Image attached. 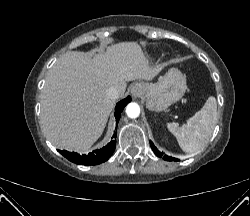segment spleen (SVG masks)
<instances>
[{
  "instance_id": "spleen-1",
  "label": "spleen",
  "mask_w": 250,
  "mask_h": 216,
  "mask_svg": "<svg viewBox=\"0 0 250 216\" xmlns=\"http://www.w3.org/2000/svg\"><path fill=\"white\" fill-rule=\"evenodd\" d=\"M217 122V102L208 98L204 106L186 123H167L168 130L176 137L179 146L186 153H195L209 142Z\"/></svg>"
}]
</instances>
